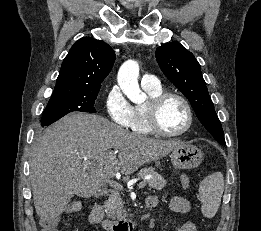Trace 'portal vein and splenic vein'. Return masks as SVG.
Returning <instances> with one entry per match:
<instances>
[{
    "label": "portal vein and splenic vein",
    "instance_id": "1",
    "mask_svg": "<svg viewBox=\"0 0 261 231\" xmlns=\"http://www.w3.org/2000/svg\"><path fill=\"white\" fill-rule=\"evenodd\" d=\"M151 178V175L145 177L144 180H142L141 182L138 183V188H144L146 186V179H149ZM108 183L111 187H113L114 189H119V190H122L123 187L121 184L117 183L116 181H113V180H108Z\"/></svg>",
    "mask_w": 261,
    "mask_h": 231
}]
</instances>
